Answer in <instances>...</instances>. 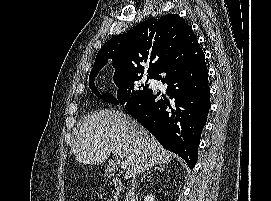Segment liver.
I'll use <instances>...</instances> for the list:
<instances>
[{
    "label": "liver",
    "mask_w": 271,
    "mask_h": 201,
    "mask_svg": "<svg viewBox=\"0 0 271 201\" xmlns=\"http://www.w3.org/2000/svg\"><path fill=\"white\" fill-rule=\"evenodd\" d=\"M78 162L104 163L111 153L128 161L124 178L135 180L154 165L168 164L172 155L143 126L118 110H99L87 115L71 148Z\"/></svg>",
    "instance_id": "liver-1"
}]
</instances>
